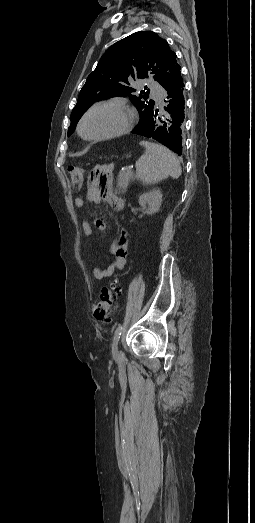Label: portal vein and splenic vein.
<instances>
[{
    "label": "portal vein and splenic vein",
    "instance_id": "1",
    "mask_svg": "<svg viewBox=\"0 0 255 523\" xmlns=\"http://www.w3.org/2000/svg\"><path fill=\"white\" fill-rule=\"evenodd\" d=\"M127 172H132V169H127Z\"/></svg>",
    "mask_w": 255,
    "mask_h": 523
}]
</instances>
